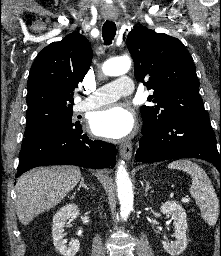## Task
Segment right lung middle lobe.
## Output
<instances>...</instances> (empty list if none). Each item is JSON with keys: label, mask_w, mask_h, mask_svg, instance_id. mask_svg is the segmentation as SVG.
Returning <instances> with one entry per match:
<instances>
[{"label": "right lung middle lobe", "mask_w": 221, "mask_h": 256, "mask_svg": "<svg viewBox=\"0 0 221 256\" xmlns=\"http://www.w3.org/2000/svg\"><path fill=\"white\" fill-rule=\"evenodd\" d=\"M72 106L67 107H40L27 111L26 130L24 137L52 125L72 123Z\"/></svg>", "instance_id": "1"}]
</instances>
